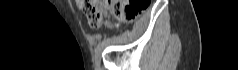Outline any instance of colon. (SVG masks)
<instances>
[{
	"label": "colon",
	"mask_w": 238,
	"mask_h": 70,
	"mask_svg": "<svg viewBox=\"0 0 238 70\" xmlns=\"http://www.w3.org/2000/svg\"><path fill=\"white\" fill-rule=\"evenodd\" d=\"M92 28L102 26L105 15L122 21H133L144 10L146 0H76Z\"/></svg>",
	"instance_id": "obj_1"
}]
</instances>
